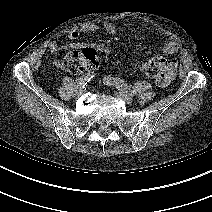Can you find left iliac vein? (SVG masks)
<instances>
[{
  "label": "left iliac vein",
  "instance_id": "obj_1",
  "mask_svg": "<svg viewBox=\"0 0 212 212\" xmlns=\"http://www.w3.org/2000/svg\"><path fill=\"white\" fill-rule=\"evenodd\" d=\"M114 95L116 98L125 101L127 104H131L133 101L132 95L125 94L123 92H115Z\"/></svg>",
  "mask_w": 212,
  "mask_h": 212
}]
</instances>
